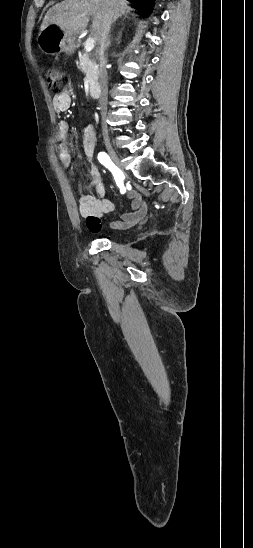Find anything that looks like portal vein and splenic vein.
Segmentation results:
<instances>
[{
	"label": "portal vein and splenic vein",
	"instance_id": "1",
	"mask_svg": "<svg viewBox=\"0 0 253 548\" xmlns=\"http://www.w3.org/2000/svg\"><path fill=\"white\" fill-rule=\"evenodd\" d=\"M95 47V39L94 38H88L85 42V51L87 53L91 52Z\"/></svg>",
	"mask_w": 253,
	"mask_h": 548
}]
</instances>
